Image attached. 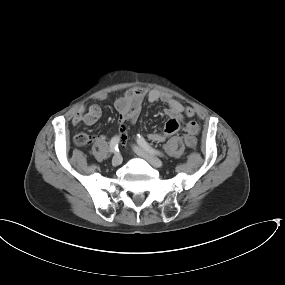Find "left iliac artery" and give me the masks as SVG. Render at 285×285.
Wrapping results in <instances>:
<instances>
[{"label": "left iliac artery", "instance_id": "44dca946", "mask_svg": "<svg viewBox=\"0 0 285 285\" xmlns=\"http://www.w3.org/2000/svg\"><path fill=\"white\" fill-rule=\"evenodd\" d=\"M137 136H138L137 137V142L143 148H145L146 150H148L152 154H155V155H158V156H161V157L164 156V154L161 151L153 148L148 142H146V140L143 137H141L140 135H137Z\"/></svg>", "mask_w": 285, "mask_h": 285}]
</instances>
